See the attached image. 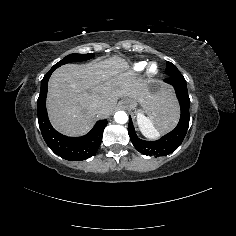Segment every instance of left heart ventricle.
Segmentation results:
<instances>
[{
  "instance_id": "left-heart-ventricle-1",
  "label": "left heart ventricle",
  "mask_w": 236,
  "mask_h": 236,
  "mask_svg": "<svg viewBox=\"0 0 236 236\" xmlns=\"http://www.w3.org/2000/svg\"><path fill=\"white\" fill-rule=\"evenodd\" d=\"M158 70V67L156 65L151 66L150 71L152 73H155Z\"/></svg>"
}]
</instances>
